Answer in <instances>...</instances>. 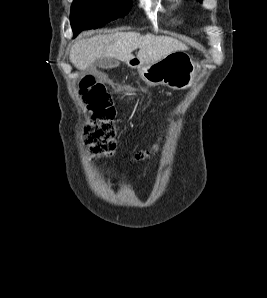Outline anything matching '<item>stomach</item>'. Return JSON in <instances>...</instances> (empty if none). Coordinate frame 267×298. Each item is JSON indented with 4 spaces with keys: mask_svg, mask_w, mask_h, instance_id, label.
I'll return each instance as SVG.
<instances>
[{
    "mask_svg": "<svg viewBox=\"0 0 267 298\" xmlns=\"http://www.w3.org/2000/svg\"><path fill=\"white\" fill-rule=\"evenodd\" d=\"M135 67L145 82L151 85H166L174 90L191 87L199 71L198 64L181 51L173 52L156 63L139 61Z\"/></svg>",
    "mask_w": 267,
    "mask_h": 298,
    "instance_id": "0dacf381",
    "label": "stomach"
}]
</instances>
